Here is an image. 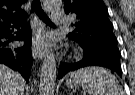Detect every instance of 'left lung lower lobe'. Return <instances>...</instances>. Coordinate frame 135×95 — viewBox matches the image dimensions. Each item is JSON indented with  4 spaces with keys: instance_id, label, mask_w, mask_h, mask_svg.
<instances>
[{
    "instance_id": "obj_1",
    "label": "left lung lower lobe",
    "mask_w": 135,
    "mask_h": 95,
    "mask_svg": "<svg viewBox=\"0 0 135 95\" xmlns=\"http://www.w3.org/2000/svg\"><path fill=\"white\" fill-rule=\"evenodd\" d=\"M84 57L81 61L76 63H60L58 70V79H61L70 71H75L86 66H102L115 71L122 77V70L120 65V52L117 44L102 42L89 47H83Z\"/></svg>"
}]
</instances>
